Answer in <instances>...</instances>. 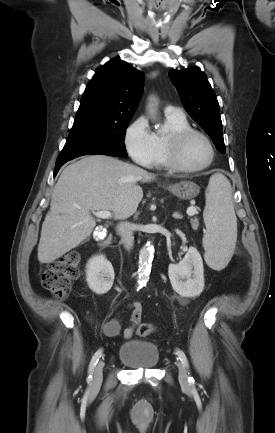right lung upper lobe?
<instances>
[{"instance_id":"cb5924a9","label":"right lung upper lobe","mask_w":275,"mask_h":433,"mask_svg":"<svg viewBox=\"0 0 275 433\" xmlns=\"http://www.w3.org/2000/svg\"><path fill=\"white\" fill-rule=\"evenodd\" d=\"M143 73L113 58L87 84L75 120L131 119L142 94Z\"/></svg>"}]
</instances>
